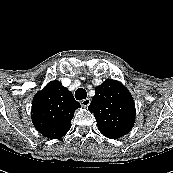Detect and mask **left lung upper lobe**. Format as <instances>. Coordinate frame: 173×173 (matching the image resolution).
<instances>
[{
	"label": "left lung upper lobe",
	"mask_w": 173,
	"mask_h": 173,
	"mask_svg": "<svg viewBox=\"0 0 173 173\" xmlns=\"http://www.w3.org/2000/svg\"><path fill=\"white\" fill-rule=\"evenodd\" d=\"M88 110L94 113L99 131L107 138L127 134L135 122V104L122 83L107 79L95 89Z\"/></svg>",
	"instance_id": "5c2ea615"
}]
</instances>
